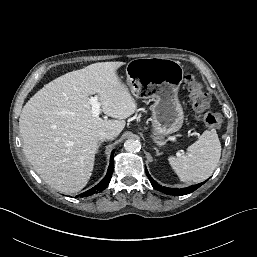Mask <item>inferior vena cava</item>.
<instances>
[{
	"mask_svg": "<svg viewBox=\"0 0 257 257\" xmlns=\"http://www.w3.org/2000/svg\"><path fill=\"white\" fill-rule=\"evenodd\" d=\"M116 137V134L114 132L110 131H102L98 134V140H112Z\"/></svg>",
	"mask_w": 257,
	"mask_h": 257,
	"instance_id": "1",
	"label": "inferior vena cava"
}]
</instances>
